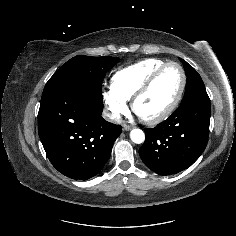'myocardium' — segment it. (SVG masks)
<instances>
[{
    "instance_id": "1",
    "label": "myocardium",
    "mask_w": 236,
    "mask_h": 236,
    "mask_svg": "<svg viewBox=\"0 0 236 236\" xmlns=\"http://www.w3.org/2000/svg\"><path fill=\"white\" fill-rule=\"evenodd\" d=\"M170 66H175L179 69L181 73V85L180 89L175 97V99L171 102V104L160 114L156 115L152 118H145L140 116L136 111V104L138 100L144 96L152 87V85L156 82V80L162 75V73L169 68ZM187 85V76L186 72L183 68V66L177 62H168L165 63L163 66L158 68L143 84L142 86L135 92V94L132 97L131 101V108L132 111L140 118L141 121L148 125H156L167 119L177 108L180 101L182 100V97L184 95L185 89Z\"/></svg>"
}]
</instances>
